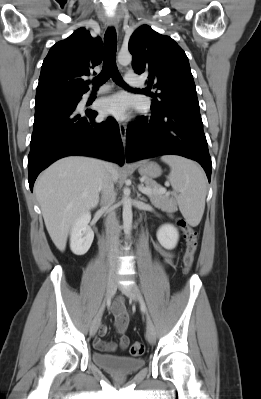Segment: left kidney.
Instances as JSON below:
<instances>
[{
	"mask_svg": "<svg viewBox=\"0 0 261 399\" xmlns=\"http://www.w3.org/2000/svg\"><path fill=\"white\" fill-rule=\"evenodd\" d=\"M156 235L159 243L167 250L174 249L179 240V232L172 224L162 225Z\"/></svg>",
	"mask_w": 261,
	"mask_h": 399,
	"instance_id": "obj_1",
	"label": "left kidney"
}]
</instances>
